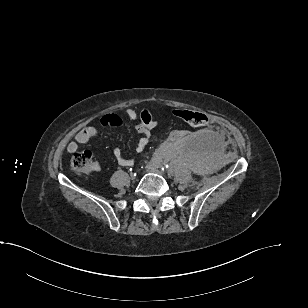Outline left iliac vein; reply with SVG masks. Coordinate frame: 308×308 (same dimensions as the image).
Segmentation results:
<instances>
[{"label":"left iliac vein","instance_id":"obj_1","mask_svg":"<svg viewBox=\"0 0 308 308\" xmlns=\"http://www.w3.org/2000/svg\"><path fill=\"white\" fill-rule=\"evenodd\" d=\"M147 171L163 176L164 172L159 169V166L155 163H149L146 166Z\"/></svg>","mask_w":308,"mask_h":308}]
</instances>
